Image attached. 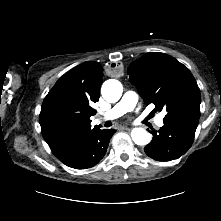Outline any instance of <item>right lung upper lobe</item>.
Masks as SVG:
<instances>
[{
    "mask_svg": "<svg viewBox=\"0 0 221 221\" xmlns=\"http://www.w3.org/2000/svg\"><path fill=\"white\" fill-rule=\"evenodd\" d=\"M103 69L98 62L82 63L56 82L45 97L39 121L52 153L61 158L98 128H91V105L99 100Z\"/></svg>",
    "mask_w": 221,
    "mask_h": 221,
    "instance_id": "cb5924a9",
    "label": "right lung upper lobe"
}]
</instances>
